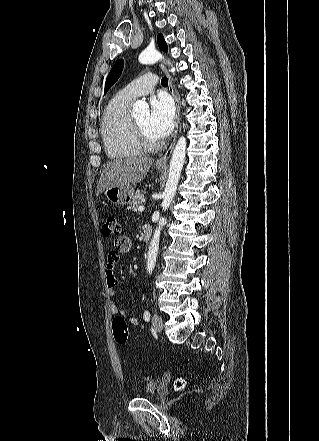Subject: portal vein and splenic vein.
I'll return each mask as SVG.
<instances>
[{
  "label": "portal vein and splenic vein",
  "instance_id": "portal-vein-and-splenic-vein-1",
  "mask_svg": "<svg viewBox=\"0 0 319 441\" xmlns=\"http://www.w3.org/2000/svg\"><path fill=\"white\" fill-rule=\"evenodd\" d=\"M139 212H142L144 210V206H139L137 209Z\"/></svg>",
  "mask_w": 319,
  "mask_h": 441
}]
</instances>
